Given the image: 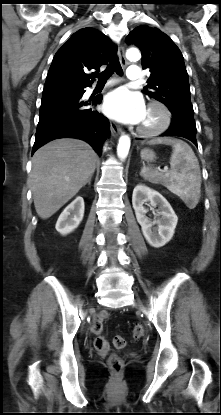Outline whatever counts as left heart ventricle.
Instances as JSON below:
<instances>
[{
	"mask_svg": "<svg viewBox=\"0 0 221 415\" xmlns=\"http://www.w3.org/2000/svg\"><path fill=\"white\" fill-rule=\"evenodd\" d=\"M160 120V114L156 109H146L143 120L141 121V126L143 127H153Z\"/></svg>",
	"mask_w": 221,
	"mask_h": 415,
	"instance_id": "1",
	"label": "left heart ventricle"
}]
</instances>
